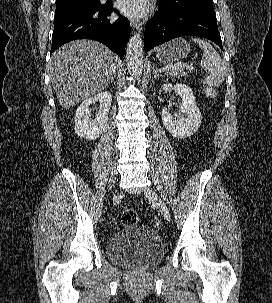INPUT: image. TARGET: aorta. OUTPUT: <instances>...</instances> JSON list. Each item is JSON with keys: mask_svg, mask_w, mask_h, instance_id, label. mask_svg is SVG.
Wrapping results in <instances>:
<instances>
[{"mask_svg": "<svg viewBox=\"0 0 272 303\" xmlns=\"http://www.w3.org/2000/svg\"><path fill=\"white\" fill-rule=\"evenodd\" d=\"M125 57L129 74L139 78L143 69V40L140 33H135L129 39Z\"/></svg>", "mask_w": 272, "mask_h": 303, "instance_id": "obj_1", "label": "aorta"}]
</instances>
